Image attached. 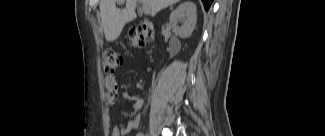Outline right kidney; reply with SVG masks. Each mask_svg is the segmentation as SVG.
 Returning <instances> with one entry per match:
<instances>
[{
	"label": "right kidney",
	"mask_w": 325,
	"mask_h": 136,
	"mask_svg": "<svg viewBox=\"0 0 325 136\" xmlns=\"http://www.w3.org/2000/svg\"><path fill=\"white\" fill-rule=\"evenodd\" d=\"M196 12V5L192 1L187 0L181 3L169 18V25L173 32L181 38L190 37L196 26ZM178 22L181 23V26H178Z\"/></svg>",
	"instance_id": "1"
}]
</instances>
